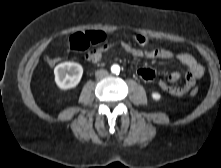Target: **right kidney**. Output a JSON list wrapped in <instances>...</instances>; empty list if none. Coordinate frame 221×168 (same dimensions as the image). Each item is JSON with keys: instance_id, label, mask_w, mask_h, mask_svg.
<instances>
[{"instance_id": "obj_1", "label": "right kidney", "mask_w": 221, "mask_h": 168, "mask_svg": "<svg viewBox=\"0 0 221 168\" xmlns=\"http://www.w3.org/2000/svg\"><path fill=\"white\" fill-rule=\"evenodd\" d=\"M83 74V68L79 63L63 62L54 69L55 82L62 90L76 87Z\"/></svg>"}]
</instances>
